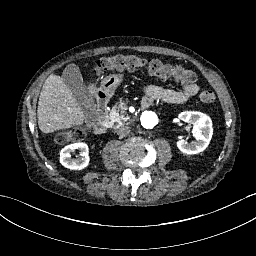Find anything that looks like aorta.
I'll return each instance as SVG.
<instances>
[{
	"label": "aorta",
	"instance_id": "obj_1",
	"mask_svg": "<svg viewBox=\"0 0 256 256\" xmlns=\"http://www.w3.org/2000/svg\"><path fill=\"white\" fill-rule=\"evenodd\" d=\"M142 123L146 127H153L157 123V116L153 112H146L142 116Z\"/></svg>",
	"mask_w": 256,
	"mask_h": 256
}]
</instances>
